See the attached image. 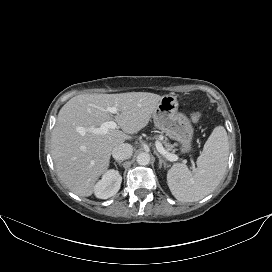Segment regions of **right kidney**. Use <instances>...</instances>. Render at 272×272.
<instances>
[{"label": "right kidney", "instance_id": "1", "mask_svg": "<svg viewBox=\"0 0 272 272\" xmlns=\"http://www.w3.org/2000/svg\"><path fill=\"white\" fill-rule=\"evenodd\" d=\"M122 176L116 170H109L95 185L94 193L97 198L107 199L114 196L120 189Z\"/></svg>", "mask_w": 272, "mask_h": 272}]
</instances>
